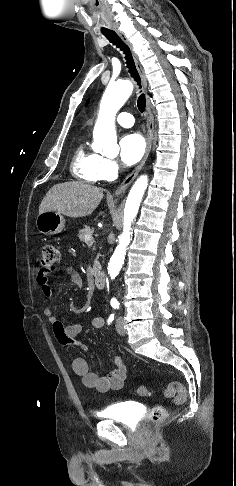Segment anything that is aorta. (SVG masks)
Listing matches in <instances>:
<instances>
[{
	"label": "aorta",
	"instance_id": "1",
	"mask_svg": "<svg viewBox=\"0 0 236 486\" xmlns=\"http://www.w3.org/2000/svg\"><path fill=\"white\" fill-rule=\"evenodd\" d=\"M133 91L129 80L109 83L100 103L99 116L93 130L94 151L110 155L119 150L115 129V115L123 106ZM148 185L146 175L140 176L132 186L124 208L123 232L108 264V273L114 279L120 272L124 263L126 249L130 243L131 224L135 219L142 197Z\"/></svg>",
	"mask_w": 236,
	"mask_h": 486
}]
</instances>
